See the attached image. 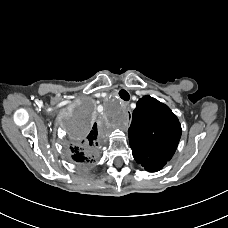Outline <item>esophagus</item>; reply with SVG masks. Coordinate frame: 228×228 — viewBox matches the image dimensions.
<instances>
[{
    "mask_svg": "<svg viewBox=\"0 0 228 228\" xmlns=\"http://www.w3.org/2000/svg\"><path fill=\"white\" fill-rule=\"evenodd\" d=\"M122 106H123L124 108H127V103H123Z\"/></svg>",
    "mask_w": 228,
    "mask_h": 228,
    "instance_id": "esophagus-1",
    "label": "esophagus"
}]
</instances>
